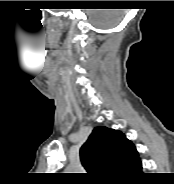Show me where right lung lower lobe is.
I'll return each mask as SVG.
<instances>
[{
	"label": "right lung lower lobe",
	"instance_id": "right-lung-lower-lobe-1",
	"mask_svg": "<svg viewBox=\"0 0 174 184\" xmlns=\"http://www.w3.org/2000/svg\"><path fill=\"white\" fill-rule=\"evenodd\" d=\"M143 176L142 165L139 157L134 160L116 181L120 184H131Z\"/></svg>",
	"mask_w": 174,
	"mask_h": 184
}]
</instances>
